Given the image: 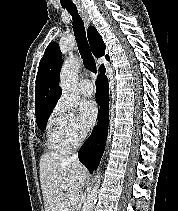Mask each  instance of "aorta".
<instances>
[{
	"instance_id": "aorta-1",
	"label": "aorta",
	"mask_w": 178,
	"mask_h": 211,
	"mask_svg": "<svg viewBox=\"0 0 178 211\" xmlns=\"http://www.w3.org/2000/svg\"><path fill=\"white\" fill-rule=\"evenodd\" d=\"M79 67L80 61L78 59L70 58L64 62L60 73V87L63 98L68 106L75 108L77 107V103L80 98L76 84ZM99 184L100 173L97 170V174L94 178V186L89 191V194L82 207V211H93Z\"/></svg>"
}]
</instances>
